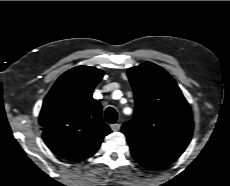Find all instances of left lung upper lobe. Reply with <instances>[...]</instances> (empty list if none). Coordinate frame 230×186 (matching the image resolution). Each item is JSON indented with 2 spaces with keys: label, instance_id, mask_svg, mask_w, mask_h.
Masks as SVG:
<instances>
[{
  "label": "left lung upper lobe",
  "instance_id": "1",
  "mask_svg": "<svg viewBox=\"0 0 230 186\" xmlns=\"http://www.w3.org/2000/svg\"><path fill=\"white\" fill-rule=\"evenodd\" d=\"M135 96V112L122 126L131 153L172 162L188 146L193 133L189 104L174 79L160 66L145 62L127 72Z\"/></svg>",
  "mask_w": 230,
  "mask_h": 186
}]
</instances>
